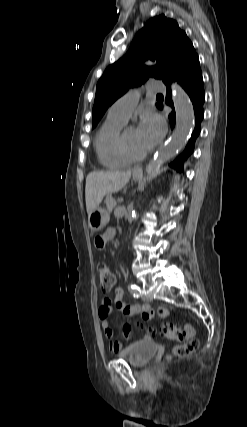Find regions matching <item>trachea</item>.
<instances>
[{"instance_id": "obj_1", "label": "trachea", "mask_w": 247, "mask_h": 427, "mask_svg": "<svg viewBox=\"0 0 247 427\" xmlns=\"http://www.w3.org/2000/svg\"><path fill=\"white\" fill-rule=\"evenodd\" d=\"M157 96H158V97H161L162 95H161V94H158Z\"/></svg>"}]
</instances>
